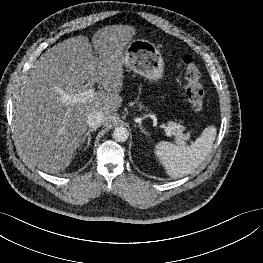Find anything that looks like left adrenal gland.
Here are the masks:
<instances>
[{"label": "left adrenal gland", "instance_id": "obj_1", "mask_svg": "<svg viewBox=\"0 0 263 263\" xmlns=\"http://www.w3.org/2000/svg\"><path fill=\"white\" fill-rule=\"evenodd\" d=\"M138 127L141 129V132L145 134L146 136H149V134L145 131V129L139 124Z\"/></svg>", "mask_w": 263, "mask_h": 263}]
</instances>
